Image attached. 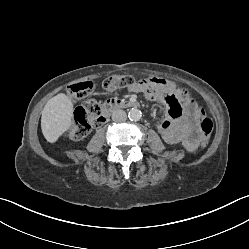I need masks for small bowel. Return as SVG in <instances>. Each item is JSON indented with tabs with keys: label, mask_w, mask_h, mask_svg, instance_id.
<instances>
[{
	"label": "small bowel",
	"mask_w": 249,
	"mask_h": 249,
	"mask_svg": "<svg viewBox=\"0 0 249 249\" xmlns=\"http://www.w3.org/2000/svg\"><path fill=\"white\" fill-rule=\"evenodd\" d=\"M129 90L143 93L148 99L166 103L167 117L159 125V132L165 142L182 143L190 152L198 147L201 141L200 108L185 89L173 81L161 77H149L140 80ZM116 95L115 93L108 101L114 100Z\"/></svg>",
	"instance_id": "small-bowel-1"
}]
</instances>
